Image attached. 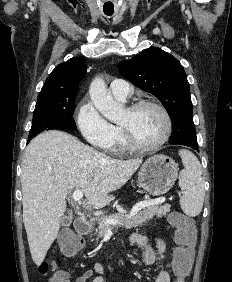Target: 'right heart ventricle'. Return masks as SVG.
Instances as JSON below:
<instances>
[{
  "mask_svg": "<svg viewBox=\"0 0 232 282\" xmlns=\"http://www.w3.org/2000/svg\"><path fill=\"white\" fill-rule=\"evenodd\" d=\"M114 128H115V131H116V139H115V143H114L113 148H115L116 150H119V151H124L127 148V146H126L125 141L123 139L121 129H120L119 126H114Z\"/></svg>",
  "mask_w": 232,
  "mask_h": 282,
  "instance_id": "obj_1",
  "label": "right heart ventricle"
}]
</instances>
